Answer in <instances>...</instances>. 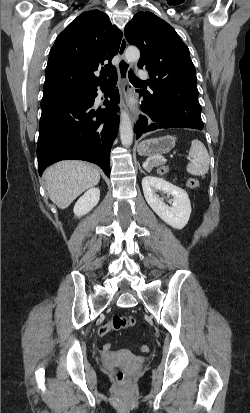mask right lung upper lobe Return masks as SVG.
Wrapping results in <instances>:
<instances>
[{
  "label": "right lung upper lobe",
  "instance_id": "obj_1",
  "mask_svg": "<svg viewBox=\"0 0 250 413\" xmlns=\"http://www.w3.org/2000/svg\"><path fill=\"white\" fill-rule=\"evenodd\" d=\"M121 38L122 32L102 11L80 14L58 35L50 50L43 96L84 91L106 83Z\"/></svg>",
  "mask_w": 250,
  "mask_h": 413
}]
</instances>
